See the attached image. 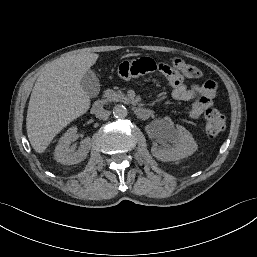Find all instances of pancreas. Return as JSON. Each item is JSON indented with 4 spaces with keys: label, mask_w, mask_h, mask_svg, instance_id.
I'll use <instances>...</instances> for the list:
<instances>
[{
    "label": "pancreas",
    "mask_w": 257,
    "mask_h": 257,
    "mask_svg": "<svg viewBox=\"0 0 257 257\" xmlns=\"http://www.w3.org/2000/svg\"><path fill=\"white\" fill-rule=\"evenodd\" d=\"M104 102L107 103V102H119V101H122V102H129V98L126 97L123 93L121 92H117V91H114V90H111V89H107L104 91Z\"/></svg>",
    "instance_id": "1"
}]
</instances>
